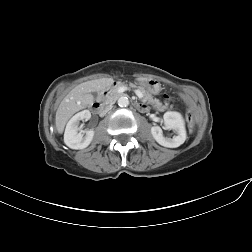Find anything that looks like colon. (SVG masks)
Segmentation results:
<instances>
[{
  "label": "colon",
  "instance_id": "1",
  "mask_svg": "<svg viewBox=\"0 0 252 252\" xmlns=\"http://www.w3.org/2000/svg\"><path fill=\"white\" fill-rule=\"evenodd\" d=\"M187 119H188V125L189 129L192 131L195 128L196 123V112L193 108H190L187 112Z\"/></svg>",
  "mask_w": 252,
  "mask_h": 252
}]
</instances>
